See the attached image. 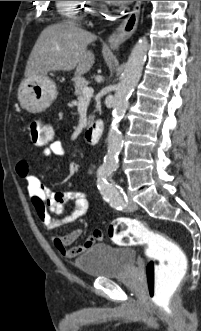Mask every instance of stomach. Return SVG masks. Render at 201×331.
I'll return each mask as SVG.
<instances>
[{
    "mask_svg": "<svg viewBox=\"0 0 201 331\" xmlns=\"http://www.w3.org/2000/svg\"><path fill=\"white\" fill-rule=\"evenodd\" d=\"M57 94L56 84L46 76L25 78L18 89L19 102L30 113L49 108Z\"/></svg>",
    "mask_w": 201,
    "mask_h": 331,
    "instance_id": "stomach-1",
    "label": "stomach"
}]
</instances>
